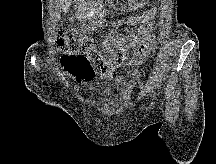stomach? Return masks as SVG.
I'll use <instances>...</instances> for the list:
<instances>
[{
  "instance_id": "obj_1",
  "label": "stomach",
  "mask_w": 216,
  "mask_h": 164,
  "mask_svg": "<svg viewBox=\"0 0 216 164\" xmlns=\"http://www.w3.org/2000/svg\"><path fill=\"white\" fill-rule=\"evenodd\" d=\"M128 2H129V5H130V8L136 9V8H140V7L144 6L148 2V0H128ZM93 13L94 14H98L99 10L98 9H94ZM124 16L128 17L129 13L125 12Z\"/></svg>"
}]
</instances>
